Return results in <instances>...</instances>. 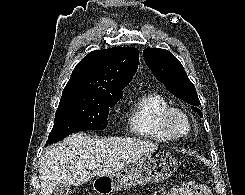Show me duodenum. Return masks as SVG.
Wrapping results in <instances>:
<instances>
[{
	"label": "duodenum",
	"instance_id": "obj_1",
	"mask_svg": "<svg viewBox=\"0 0 245 195\" xmlns=\"http://www.w3.org/2000/svg\"><path fill=\"white\" fill-rule=\"evenodd\" d=\"M108 190H109V186H104V187H100L99 188V191L101 192V193H107L108 192Z\"/></svg>",
	"mask_w": 245,
	"mask_h": 195
}]
</instances>
